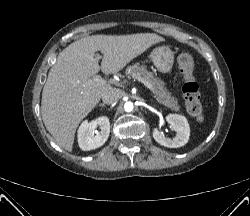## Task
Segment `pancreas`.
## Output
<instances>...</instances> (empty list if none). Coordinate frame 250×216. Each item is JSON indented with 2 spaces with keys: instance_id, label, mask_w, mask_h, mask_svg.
I'll list each match as a JSON object with an SVG mask.
<instances>
[{
  "instance_id": "1",
  "label": "pancreas",
  "mask_w": 250,
  "mask_h": 216,
  "mask_svg": "<svg viewBox=\"0 0 250 216\" xmlns=\"http://www.w3.org/2000/svg\"><path fill=\"white\" fill-rule=\"evenodd\" d=\"M126 75L128 77H134V75L142 76L146 81H148L153 87L154 98L166 107L174 110L180 111V105L175 97L166 89L165 83L156 77V75L147 70V68L139 63L130 65L126 69Z\"/></svg>"
}]
</instances>
